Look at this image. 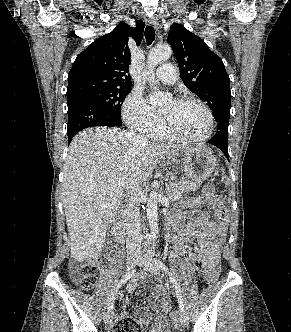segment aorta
<instances>
[{"mask_svg":"<svg viewBox=\"0 0 291 332\" xmlns=\"http://www.w3.org/2000/svg\"><path fill=\"white\" fill-rule=\"evenodd\" d=\"M172 49L169 45H157L149 51L147 57L148 69L143 72V76L147 79L153 92L150 96L151 105H160L171 98L170 93H164L157 89V80L155 79L154 69L162 61H166L171 57ZM157 191L152 189L147 201V218L150 227V233L153 240V248L158 235V212H157Z\"/></svg>","mask_w":291,"mask_h":332,"instance_id":"obj_1","label":"aorta"}]
</instances>
